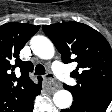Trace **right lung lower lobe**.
Masks as SVG:
<instances>
[{"label":"right lung lower lobe","mask_w":112,"mask_h":112,"mask_svg":"<svg viewBox=\"0 0 112 112\" xmlns=\"http://www.w3.org/2000/svg\"><path fill=\"white\" fill-rule=\"evenodd\" d=\"M39 94H40V92L37 95H39ZM24 112H33V100L30 102V104L27 106V108Z\"/></svg>","instance_id":"98d812e1"}]
</instances>
